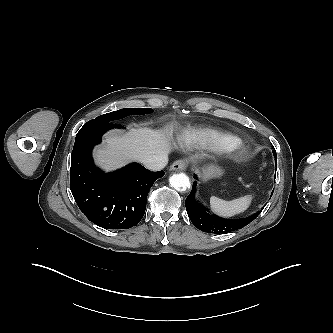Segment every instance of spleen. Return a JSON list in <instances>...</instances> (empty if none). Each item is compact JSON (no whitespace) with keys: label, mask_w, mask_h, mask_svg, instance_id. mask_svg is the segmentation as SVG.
Returning <instances> with one entry per match:
<instances>
[{"label":"spleen","mask_w":333,"mask_h":333,"mask_svg":"<svg viewBox=\"0 0 333 333\" xmlns=\"http://www.w3.org/2000/svg\"><path fill=\"white\" fill-rule=\"evenodd\" d=\"M252 201V195H246L238 199L226 201L216 196L210 198L211 209L222 217H231L247 210Z\"/></svg>","instance_id":"spleen-1"}]
</instances>
